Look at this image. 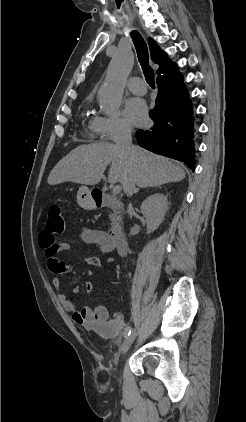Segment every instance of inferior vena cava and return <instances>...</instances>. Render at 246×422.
Returning a JSON list of instances; mask_svg holds the SVG:
<instances>
[{
  "mask_svg": "<svg viewBox=\"0 0 246 422\" xmlns=\"http://www.w3.org/2000/svg\"><path fill=\"white\" fill-rule=\"evenodd\" d=\"M132 130L129 126H123L119 131L118 135L115 138L116 146L121 150V152L129 157L134 155L132 148ZM124 191L127 193V196H131L135 191V173L132 171L129 174L127 184L124 187Z\"/></svg>",
  "mask_w": 246,
  "mask_h": 422,
  "instance_id": "obj_1",
  "label": "inferior vena cava"
}]
</instances>
